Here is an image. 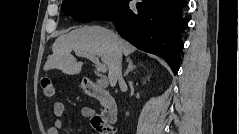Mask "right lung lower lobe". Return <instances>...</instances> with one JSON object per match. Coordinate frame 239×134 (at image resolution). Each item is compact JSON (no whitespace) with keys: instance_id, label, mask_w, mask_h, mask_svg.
Returning <instances> with one entry per match:
<instances>
[{"instance_id":"right-lung-lower-lobe-1","label":"right lung lower lobe","mask_w":239,"mask_h":134,"mask_svg":"<svg viewBox=\"0 0 239 134\" xmlns=\"http://www.w3.org/2000/svg\"><path fill=\"white\" fill-rule=\"evenodd\" d=\"M129 0H120L108 12L95 20H111L118 33L135 47L161 56L176 75L183 48L181 28L186 24L181 16L185 0H141L136 8Z\"/></svg>"}]
</instances>
